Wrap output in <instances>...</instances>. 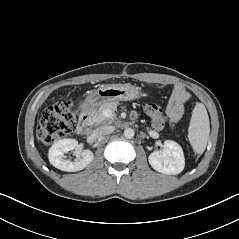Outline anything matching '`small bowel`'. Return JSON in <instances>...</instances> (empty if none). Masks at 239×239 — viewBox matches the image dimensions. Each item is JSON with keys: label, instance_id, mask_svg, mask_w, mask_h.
<instances>
[{"label": "small bowel", "instance_id": "c3829d8e", "mask_svg": "<svg viewBox=\"0 0 239 239\" xmlns=\"http://www.w3.org/2000/svg\"><path fill=\"white\" fill-rule=\"evenodd\" d=\"M186 99L187 93L181 88L177 89L170 99L166 113L172 125H175L181 119ZM160 114H162V111H160Z\"/></svg>", "mask_w": 239, "mask_h": 239}]
</instances>
